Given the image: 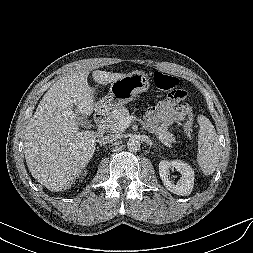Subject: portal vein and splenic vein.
I'll return each mask as SVG.
<instances>
[{
  "instance_id": "portal-vein-and-splenic-vein-1",
  "label": "portal vein and splenic vein",
  "mask_w": 253,
  "mask_h": 253,
  "mask_svg": "<svg viewBox=\"0 0 253 253\" xmlns=\"http://www.w3.org/2000/svg\"><path fill=\"white\" fill-rule=\"evenodd\" d=\"M133 120V116L123 117L120 119L118 126L121 130L129 127L131 121Z\"/></svg>"
}]
</instances>
